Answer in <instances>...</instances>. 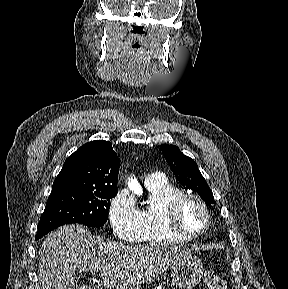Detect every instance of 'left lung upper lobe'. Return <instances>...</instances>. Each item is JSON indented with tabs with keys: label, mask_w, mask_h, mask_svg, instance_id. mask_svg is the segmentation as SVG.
I'll list each match as a JSON object with an SVG mask.
<instances>
[{
	"label": "left lung upper lobe",
	"mask_w": 288,
	"mask_h": 289,
	"mask_svg": "<svg viewBox=\"0 0 288 289\" xmlns=\"http://www.w3.org/2000/svg\"><path fill=\"white\" fill-rule=\"evenodd\" d=\"M160 148L179 182L197 192L208 205L215 203L213 193L198 170L196 162L184 155L177 146L164 144L160 145Z\"/></svg>",
	"instance_id": "obj_1"
}]
</instances>
